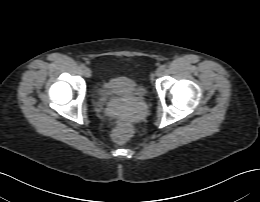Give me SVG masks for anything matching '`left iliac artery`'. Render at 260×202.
I'll return each instance as SVG.
<instances>
[{
    "mask_svg": "<svg viewBox=\"0 0 260 202\" xmlns=\"http://www.w3.org/2000/svg\"><path fill=\"white\" fill-rule=\"evenodd\" d=\"M162 70H165L167 68V66L164 64L161 66Z\"/></svg>",
    "mask_w": 260,
    "mask_h": 202,
    "instance_id": "44dca946",
    "label": "left iliac artery"
}]
</instances>
